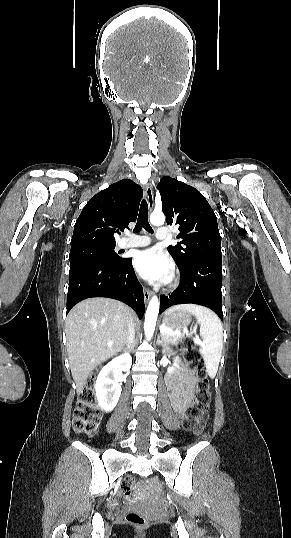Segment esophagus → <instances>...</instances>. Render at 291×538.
<instances>
[{"mask_svg": "<svg viewBox=\"0 0 291 538\" xmlns=\"http://www.w3.org/2000/svg\"><path fill=\"white\" fill-rule=\"evenodd\" d=\"M144 192H145V197L148 203L149 210L151 211L154 205V196H153L152 186L150 184H146ZM151 295H152V291L148 288H144V299L146 302H149Z\"/></svg>", "mask_w": 291, "mask_h": 538, "instance_id": "obj_1", "label": "esophagus"}]
</instances>
